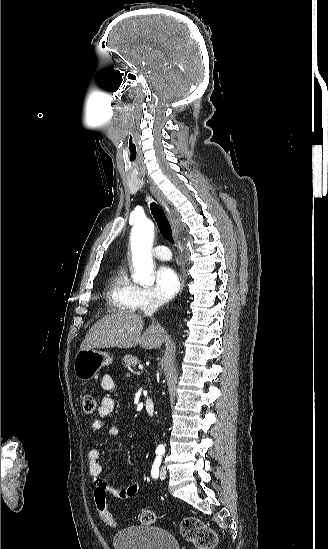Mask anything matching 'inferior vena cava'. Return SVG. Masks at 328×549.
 <instances>
[{"label":"inferior vena cava","mask_w":328,"mask_h":549,"mask_svg":"<svg viewBox=\"0 0 328 549\" xmlns=\"http://www.w3.org/2000/svg\"><path fill=\"white\" fill-rule=\"evenodd\" d=\"M161 305L162 301H159V299H151L146 305L145 315H154Z\"/></svg>","instance_id":"inferior-vena-cava-1"}]
</instances>
